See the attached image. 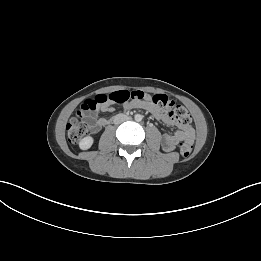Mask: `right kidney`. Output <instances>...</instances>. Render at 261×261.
<instances>
[{
	"instance_id": "1",
	"label": "right kidney",
	"mask_w": 261,
	"mask_h": 261,
	"mask_svg": "<svg viewBox=\"0 0 261 261\" xmlns=\"http://www.w3.org/2000/svg\"><path fill=\"white\" fill-rule=\"evenodd\" d=\"M93 142L94 140L91 136H86L80 141L79 147L82 150H87L92 146Z\"/></svg>"
}]
</instances>
